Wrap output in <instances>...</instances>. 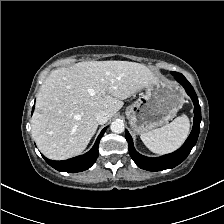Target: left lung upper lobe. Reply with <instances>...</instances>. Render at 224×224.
Here are the masks:
<instances>
[{
	"instance_id": "5c2ea615",
	"label": "left lung upper lobe",
	"mask_w": 224,
	"mask_h": 224,
	"mask_svg": "<svg viewBox=\"0 0 224 224\" xmlns=\"http://www.w3.org/2000/svg\"><path fill=\"white\" fill-rule=\"evenodd\" d=\"M171 74H172L173 76H175L176 74H178V72H171Z\"/></svg>"
}]
</instances>
